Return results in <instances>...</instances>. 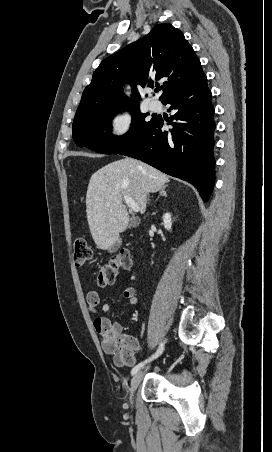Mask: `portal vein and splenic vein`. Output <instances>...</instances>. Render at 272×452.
Returning a JSON list of instances; mask_svg holds the SVG:
<instances>
[{
	"label": "portal vein and splenic vein",
	"instance_id": "portal-vein-and-splenic-vein-1",
	"mask_svg": "<svg viewBox=\"0 0 272 452\" xmlns=\"http://www.w3.org/2000/svg\"><path fill=\"white\" fill-rule=\"evenodd\" d=\"M123 199L125 201V203L127 204V206L134 212H138L139 211V206L138 204L129 196L124 195Z\"/></svg>",
	"mask_w": 272,
	"mask_h": 452
}]
</instances>
